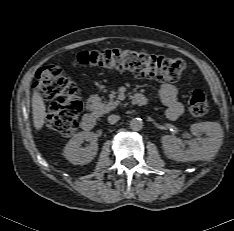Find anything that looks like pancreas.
Returning a JSON list of instances; mask_svg holds the SVG:
<instances>
[{
  "label": "pancreas",
  "instance_id": "cf45deb5",
  "mask_svg": "<svg viewBox=\"0 0 234 231\" xmlns=\"http://www.w3.org/2000/svg\"><path fill=\"white\" fill-rule=\"evenodd\" d=\"M88 103L89 109L99 116L110 112L118 105V101L113 100L102 102L101 98L97 95L90 96Z\"/></svg>",
  "mask_w": 234,
  "mask_h": 231
}]
</instances>
